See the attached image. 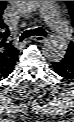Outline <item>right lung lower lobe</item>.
Wrapping results in <instances>:
<instances>
[{
  "label": "right lung lower lobe",
  "instance_id": "right-lung-lower-lobe-1",
  "mask_svg": "<svg viewBox=\"0 0 74 122\" xmlns=\"http://www.w3.org/2000/svg\"><path fill=\"white\" fill-rule=\"evenodd\" d=\"M12 70H13V68H12ZM12 70H11V71H12ZM11 71L8 73V75L11 73ZM8 75H7V76H8ZM7 76H6V77H7ZM6 77H0V79H1V78H6Z\"/></svg>",
  "mask_w": 74,
  "mask_h": 122
}]
</instances>
